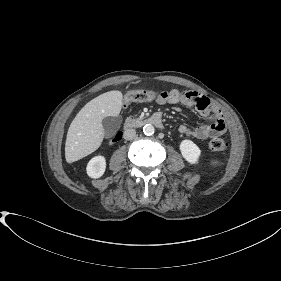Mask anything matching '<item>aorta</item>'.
I'll return each instance as SVG.
<instances>
[{"mask_svg":"<svg viewBox=\"0 0 281 281\" xmlns=\"http://www.w3.org/2000/svg\"><path fill=\"white\" fill-rule=\"evenodd\" d=\"M143 132H144L145 135L150 136V135L154 134L155 128H154V126L152 124H146L143 127Z\"/></svg>","mask_w":281,"mask_h":281,"instance_id":"762f6f07","label":"aorta"}]
</instances>
